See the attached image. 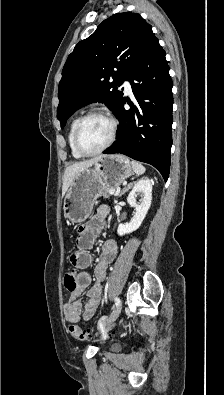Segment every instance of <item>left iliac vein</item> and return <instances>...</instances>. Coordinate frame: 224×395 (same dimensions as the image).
Instances as JSON below:
<instances>
[{
	"label": "left iliac vein",
	"mask_w": 224,
	"mask_h": 395,
	"mask_svg": "<svg viewBox=\"0 0 224 395\" xmlns=\"http://www.w3.org/2000/svg\"><path fill=\"white\" fill-rule=\"evenodd\" d=\"M122 309V301L118 305H115L111 316L103 323L104 327H109L113 324V322L118 318Z\"/></svg>",
	"instance_id": "obj_1"
}]
</instances>
